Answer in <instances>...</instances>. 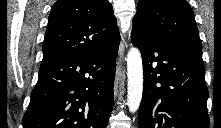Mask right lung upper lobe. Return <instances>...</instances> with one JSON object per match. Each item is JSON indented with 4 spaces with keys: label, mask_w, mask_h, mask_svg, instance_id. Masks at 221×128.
<instances>
[{
    "label": "right lung upper lobe",
    "mask_w": 221,
    "mask_h": 128,
    "mask_svg": "<svg viewBox=\"0 0 221 128\" xmlns=\"http://www.w3.org/2000/svg\"><path fill=\"white\" fill-rule=\"evenodd\" d=\"M119 40L108 0H57L49 16L41 65L66 55L91 53Z\"/></svg>",
    "instance_id": "1"
}]
</instances>
